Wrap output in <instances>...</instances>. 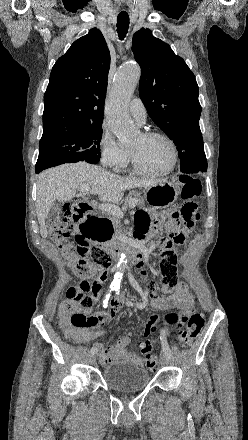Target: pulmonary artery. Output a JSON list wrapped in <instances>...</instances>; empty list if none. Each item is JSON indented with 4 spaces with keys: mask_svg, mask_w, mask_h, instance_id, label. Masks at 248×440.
I'll list each match as a JSON object with an SVG mask.
<instances>
[{
    "mask_svg": "<svg viewBox=\"0 0 248 440\" xmlns=\"http://www.w3.org/2000/svg\"><path fill=\"white\" fill-rule=\"evenodd\" d=\"M129 110L131 115L139 124H144L147 117L146 108L139 98H134L130 102Z\"/></svg>",
    "mask_w": 248,
    "mask_h": 440,
    "instance_id": "e3ab8cb5",
    "label": "pulmonary artery"
}]
</instances>
